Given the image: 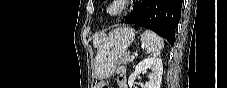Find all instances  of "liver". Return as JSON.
Returning <instances> with one entry per match:
<instances>
[{
	"instance_id": "1",
	"label": "liver",
	"mask_w": 227,
	"mask_h": 88,
	"mask_svg": "<svg viewBox=\"0 0 227 88\" xmlns=\"http://www.w3.org/2000/svg\"><path fill=\"white\" fill-rule=\"evenodd\" d=\"M99 43H100L99 37H95V39H94V41H93V46H94V47H97V46L99 45Z\"/></svg>"
}]
</instances>
